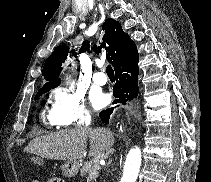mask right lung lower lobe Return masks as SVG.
<instances>
[{
  "label": "right lung lower lobe",
  "instance_id": "1",
  "mask_svg": "<svg viewBox=\"0 0 211 182\" xmlns=\"http://www.w3.org/2000/svg\"><path fill=\"white\" fill-rule=\"evenodd\" d=\"M138 61L139 54L136 45L130 39L114 66L116 84L113 86V95L116 99L113 104L122 103L125 105L127 101L138 96ZM113 109L109 108L99 113L101 120L106 124H108Z\"/></svg>",
  "mask_w": 211,
  "mask_h": 182
}]
</instances>
